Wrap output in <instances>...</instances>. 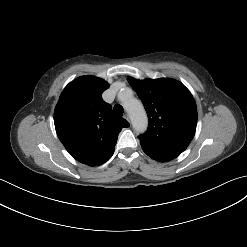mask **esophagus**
I'll return each mask as SVG.
<instances>
[{
    "label": "esophagus",
    "instance_id": "esophagus-1",
    "mask_svg": "<svg viewBox=\"0 0 247 247\" xmlns=\"http://www.w3.org/2000/svg\"><path fill=\"white\" fill-rule=\"evenodd\" d=\"M124 119H126L128 122H130V118H129L128 114L124 115Z\"/></svg>",
    "mask_w": 247,
    "mask_h": 247
}]
</instances>
